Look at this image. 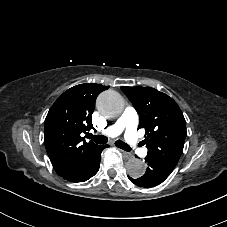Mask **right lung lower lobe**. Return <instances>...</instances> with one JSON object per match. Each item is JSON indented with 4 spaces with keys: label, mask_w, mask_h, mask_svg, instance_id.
<instances>
[{
    "label": "right lung lower lobe",
    "mask_w": 227,
    "mask_h": 227,
    "mask_svg": "<svg viewBox=\"0 0 227 227\" xmlns=\"http://www.w3.org/2000/svg\"><path fill=\"white\" fill-rule=\"evenodd\" d=\"M106 147H108V145H98L90 150L78 167L70 172H60L58 169H55V171L59 176L71 182L86 181L94 176L99 170L101 152Z\"/></svg>",
    "instance_id": "1"
}]
</instances>
